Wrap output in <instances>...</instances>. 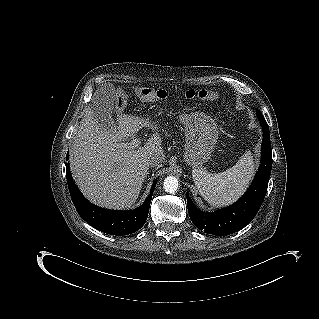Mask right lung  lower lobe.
<instances>
[{"label": "right lung lower lobe", "mask_w": 319, "mask_h": 319, "mask_svg": "<svg viewBox=\"0 0 319 319\" xmlns=\"http://www.w3.org/2000/svg\"><path fill=\"white\" fill-rule=\"evenodd\" d=\"M68 159L67 153L66 160ZM66 175L71 198L77 212L95 229L110 235H128L139 230L146 222L156 180L153 182V187L146 201L139 208L117 211L95 206L86 200L71 177L68 163H66Z\"/></svg>", "instance_id": "right-lung-lower-lobe-1"}]
</instances>
